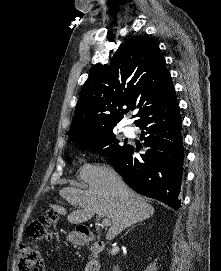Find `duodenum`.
Here are the masks:
<instances>
[{"label":"duodenum","mask_w":221,"mask_h":271,"mask_svg":"<svg viewBox=\"0 0 221 271\" xmlns=\"http://www.w3.org/2000/svg\"><path fill=\"white\" fill-rule=\"evenodd\" d=\"M72 243L78 246L91 244L92 255L89 259L85 271H100L101 261L100 254L105 247V243L96 238V236L89 230H80L71 238Z\"/></svg>","instance_id":"410a0bca"}]
</instances>
